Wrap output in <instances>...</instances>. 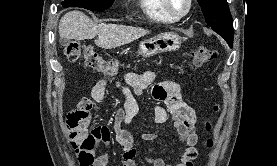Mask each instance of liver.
Returning a JSON list of instances; mask_svg holds the SVG:
<instances>
[{"label":"liver","mask_w":277,"mask_h":166,"mask_svg":"<svg viewBox=\"0 0 277 166\" xmlns=\"http://www.w3.org/2000/svg\"><path fill=\"white\" fill-rule=\"evenodd\" d=\"M59 35L68 40L93 39L98 47L104 49L116 48L139 39L149 31L143 28L117 24H95L87 15L80 11L67 12L59 22Z\"/></svg>","instance_id":"6515ba94"}]
</instances>
